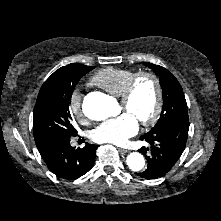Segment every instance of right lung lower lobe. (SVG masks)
Here are the masks:
<instances>
[{
    "instance_id": "98d812e1",
    "label": "right lung lower lobe",
    "mask_w": 221,
    "mask_h": 221,
    "mask_svg": "<svg viewBox=\"0 0 221 221\" xmlns=\"http://www.w3.org/2000/svg\"><path fill=\"white\" fill-rule=\"evenodd\" d=\"M36 145L49 170L66 180L77 179L93 167L98 147L86 143L85 147L75 149L70 145V137H49Z\"/></svg>"
}]
</instances>
